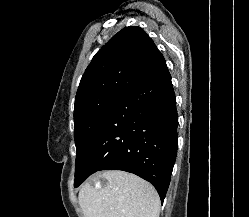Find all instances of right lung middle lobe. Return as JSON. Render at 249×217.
Instances as JSON below:
<instances>
[{
    "label": "right lung middle lobe",
    "mask_w": 249,
    "mask_h": 217,
    "mask_svg": "<svg viewBox=\"0 0 249 217\" xmlns=\"http://www.w3.org/2000/svg\"><path fill=\"white\" fill-rule=\"evenodd\" d=\"M124 95L122 92L103 93L74 108V139L77 150L75 181L80 176L79 165L89 144Z\"/></svg>",
    "instance_id": "right-lung-middle-lobe-1"
}]
</instances>
